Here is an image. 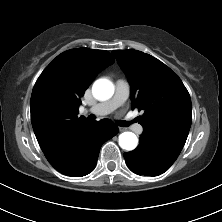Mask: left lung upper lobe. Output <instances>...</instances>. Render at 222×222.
Here are the masks:
<instances>
[{
    "label": "left lung upper lobe",
    "mask_w": 222,
    "mask_h": 222,
    "mask_svg": "<svg viewBox=\"0 0 222 222\" xmlns=\"http://www.w3.org/2000/svg\"><path fill=\"white\" fill-rule=\"evenodd\" d=\"M131 85L132 107L143 110V135H155L180 154L192 121L190 95L164 63L137 50L112 52Z\"/></svg>",
    "instance_id": "1"
}]
</instances>
